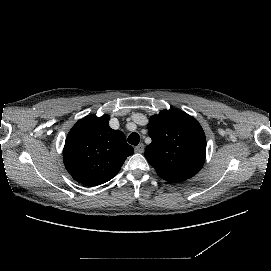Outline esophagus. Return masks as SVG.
Returning a JSON list of instances; mask_svg holds the SVG:
<instances>
[{"label": "esophagus", "instance_id": "34e87169", "mask_svg": "<svg viewBox=\"0 0 271 271\" xmlns=\"http://www.w3.org/2000/svg\"><path fill=\"white\" fill-rule=\"evenodd\" d=\"M145 150V145L143 143H140L139 145H137L135 148H134V151L136 153H143Z\"/></svg>", "mask_w": 271, "mask_h": 271}]
</instances>
